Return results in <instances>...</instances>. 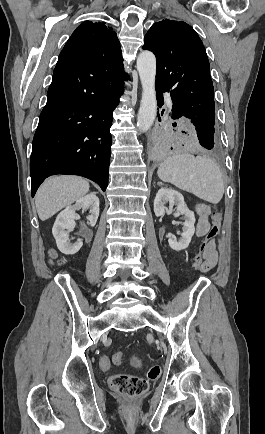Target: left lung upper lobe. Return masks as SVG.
Wrapping results in <instances>:
<instances>
[{"label":"left lung upper lobe","mask_w":265,"mask_h":434,"mask_svg":"<svg viewBox=\"0 0 265 434\" xmlns=\"http://www.w3.org/2000/svg\"><path fill=\"white\" fill-rule=\"evenodd\" d=\"M143 49L157 60L156 85L170 91L174 104L195 127L215 125L210 67L196 31L183 21L165 19L152 25Z\"/></svg>","instance_id":"1"}]
</instances>
